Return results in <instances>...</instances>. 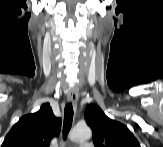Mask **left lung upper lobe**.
<instances>
[{
	"label": "left lung upper lobe",
	"mask_w": 163,
	"mask_h": 147,
	"mask_svg": "<svg viewBox=\"0 0 163 147\" xmlns=\"http://www.w3.org/2000/svg\"><path fill=\"white\" fill-rule=\"evenodd\" d=\"M84 117L93 131L95 147H140L127 126L108 118L100 107L87 105Z\"/></svg>",
	"instance_id": "5c2ea615"
}]
</instances>
